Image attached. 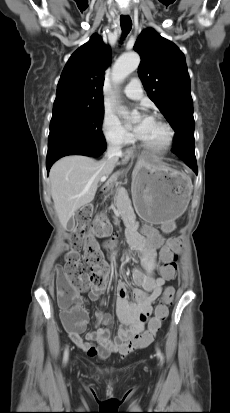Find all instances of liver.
Instances as JSON below:
<instances>
[{"instance_id":"liver-1","label":"liver","mask_w":230,"mask_h":413,"mask_svg":"<svg viewBox=\"0 0 230 413\" xmlns=\"http://www.w3.org/2000/svg\"><path fill=\"white\" fill-rule=\"evenodd\" d=\"M116 163L107 158L96 161L74 155L61 158L52 166L49 175L51 196L64 229L75 212L94 199L100 178L108 177Z\"/></svg>"}]
</instances>
